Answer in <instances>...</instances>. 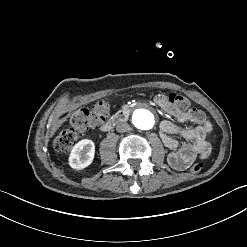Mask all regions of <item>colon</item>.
Returning a JSON list of instances; mask_svg holds the SVG:
<instances>
[{
  "label": "colon",
  "mask_w": 247,
  "mask_h": 247,
  "mask_svg": "<svg viewBox=\"0 0 247 247\" xmlns=\"http://www.w3.org/2000/svg\"><path fill=\"white\" fill-rule=\"evenodd\" d=\"M166 99L173 105H177L180 109H185L190 105V100L180 94L168 92ZM106 102H100L92 109L81 108L77 112L69 116V121L73 127L62 129L56 136L54 142V149L59 153H68L76 143L79 133L86 128L95 126L100 122L102 116L106 114ZM203 165L200 162L194 163L190 170L192 172H199Z\"/></svg>",
  "instance_id": "obj_1"
}]
</instances>
